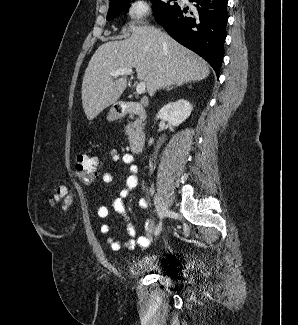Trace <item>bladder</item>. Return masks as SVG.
<instances>
[{
	"label": "bladder",
	"mask_w": 298,
	"mask_h": 325,
	"mask_svg": "<svg viewBox=\"0 0 298 325\" xmlns=\"http://www.w3.org/2000/svg\"><path fill=\"white\" fill-rule=\"evenodd\" d=\"M159 271L158 261L155 256H146L135 262L130 263L126 272L129 276H141L152 274Z\"/></svg>",
	"instance_id": "obj_1"
}]
</instances>
